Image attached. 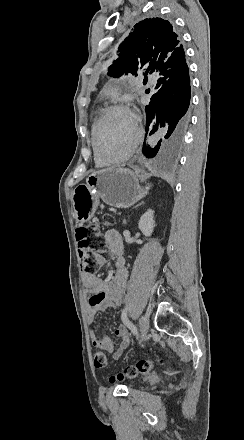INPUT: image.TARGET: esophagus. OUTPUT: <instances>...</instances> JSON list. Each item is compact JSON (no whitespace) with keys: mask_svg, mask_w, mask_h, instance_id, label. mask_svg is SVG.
I'll use <instances>...</instances> for the list:
<instances>
[{"mask_svg":"<svg viewBox=\"0 0 244 440\" xmlns=\"http://www.w3.org/2000/svg\"><path fill=\"white\" fill-rule=\"evenodd\" d=\"M144 161H145V158H144V157H139V158H138V162H139L140 164L144 163Z\"/></svg>","mask_w":244,"mask_h":440,"instance_id":"obj_1","label":"esophagus"}]
</instances>
